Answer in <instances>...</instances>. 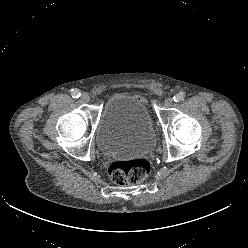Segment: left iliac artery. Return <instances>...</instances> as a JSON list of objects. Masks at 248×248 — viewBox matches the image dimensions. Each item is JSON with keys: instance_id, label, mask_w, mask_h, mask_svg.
Instances as JSON below:
<instances>
[{"instance_id": "left-iliac-artery-1", "label": "left iliac artery", "mask_w": 248, "mask_h": 248, "mask_svg": "<svg viewBox=\"0 0 248 248\" xmlns=\"http://www.w3.org/2000/svg\"><path fill=\"white\" fill-rule=\"evenodd\" d=\"M184 97H185V92H179L173 97V99L175 102H181L182 100H184Z\"/></svg>"}]
</instances>
